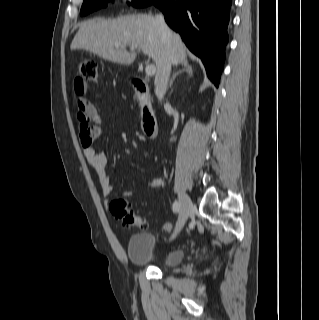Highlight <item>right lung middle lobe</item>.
Masks as SVG:
<instances>
[{
    "instance_id": "right-lung-middle-lobe-1",
    "label": "right lung middle lobe",
    "mask_w": 319,
    "mask_h": 320,
    "mask_svg": "<svg viewBox=\"0 0 319 320\" xmlns=\"http://www.w3.org/2000/svg\"><path fill=\"white\" fill-rule=\"evenodd\" d=\"M110 0H84L80 15H87L95 10L100 8H104L108 5ZM153 0H137L131 2V4L135 7H145L149 5Z\"/></svg>"
}]
</instances>
